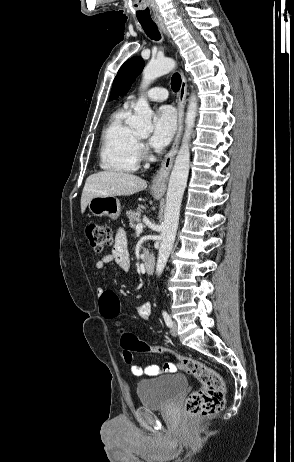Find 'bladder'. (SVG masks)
<instances>
[{
	"mask_svg": "<svg viewBox=\"0 0 294 462\" xmlns=\"http://www.w3.org/2000/svg\"><path fill=\"white\" fill-rule=\"evenodd\" d=\"M187 388L185 376L170 374L139 381L136 393L142 407L161 409L175 402Z\"/></svg>",
	"mask_w": 294,
	"mask_h": 462,
	"instance_id": "1",
	"label": "bladder"
}]
</instances>
